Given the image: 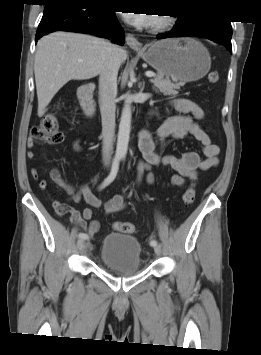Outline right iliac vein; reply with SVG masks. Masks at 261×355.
<instances>
[{
    "instance_id": "63e3f726",
    "label": "right iliac vein",
    "mask_w": 261,
    "mask_h": 355,
    "mask_svg": "<svg viewBox=\"0 0 261 355\" xmlns=\"http://www.w3.org/2000/svg\"><path fill=\"white\" fill-rule=\"evenodd\" d=\"M77 247L80 251H83L87 248V244L84 243V241L82 239H79L77 242Z\"/></svg>"
}]
</instances>
